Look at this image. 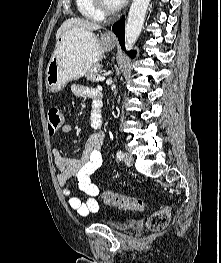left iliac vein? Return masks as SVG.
<instances>
[{
	"mask_svg": "<svg viewBox=\"0 0 221 263\" xmlns=\"http://www.w3.org/2000/svg\"><path fill=\"white\" fill-rule=\"evenodd\" d=\"M124 162L126 165L131 166L134 162V157L130 153H126Z\"/></svg>",
	"mask_w": 221,
	"mask_h": 263,
	"instance_id": "4c4485c4",
	"label": "left iliac vein"
}]
</instances>
